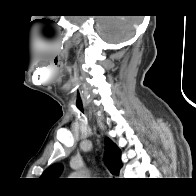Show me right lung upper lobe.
I'll list each match as a JSON object with an SVG mask.
<instances>
[{
    "label": "right lung upper lobe",
    "mask_w": 196,
    "mask_h": 196,
    "mask_svg": "<svg viewBox=\"0 0 196 196\" xmlns=\"http://www.w3.org/2000/svg\"><path fill=\"white\" fill-rule=\"evenodd\" d=\"M105 143H106V151H105L106 163L111 173L118 175L120 169L122 168L121 152L109 138L105 139ZM62 169L63 166L61 164L59 163L54 164L44 171L41 178L46 180L57 179L58 176L61 174Z\"/></svg>",
    "instance_id": "obj_1"
}]
</instances>
